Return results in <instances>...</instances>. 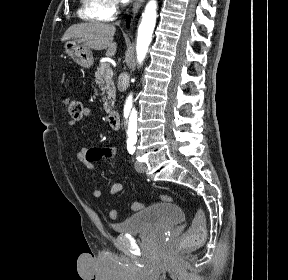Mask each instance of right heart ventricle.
<instances>
[{
	"mask_svg": "<svg viewBox=\"0 0 288 280\" xmlns=\"http://www.w3.org/2000/svg\"><path fill=\"white\" fill-rule=\"evenodd\" d=\"M102 0H80L78 15L86 21H103Z\"/></svg>",
	"mask_w": 288,
	"mask_h": 280,
	"instance_id": "right-heart-ventricle-1",
	"label": "right heart ventricle"
}]
</instances>
